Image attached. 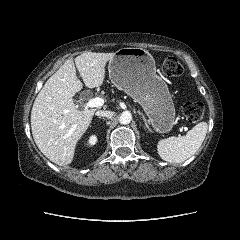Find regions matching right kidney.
I'll return each mask as SVG.
<instances>
[{"instance_id": "1", "label": "right kidney", "mask_w": 240, "mask_h": 240, "mask_svg": "<svg viewBox=\"0 0 240 240\" xmlns=\"http://www.w3.org/2000/svg\"><path fill=\"white\" fill-rule=\"evenodd\" d=\"M96 142H97V137L96 136H94V135H92L90 138H89V140H88V143H89V145H95L96 144Z\"/></svg>"}]
</instances>
